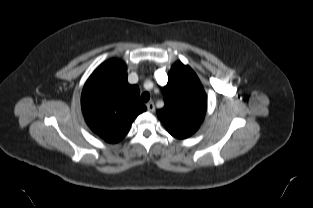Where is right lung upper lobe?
<instances>
[{
	"mask_svg": "<svg viewBox=\"0 0 313 208\" xmlns=\"http://www.w3.org/2000/svg\"><path fill=\"white\" fill-rule=\"evenodd\" d=\"M81 108L90 129L108 143L128 133L134 119L146 111L139 101V88L127 81L123 61L110 59L89 77L81 95Z\"/></svg>",
	"mask_w": 313,
	"mask_h": 208,
	"instance_id": "right-lung-upper-lobe-1",
	"label": "right lung upper lobe"
}]
</instances>
